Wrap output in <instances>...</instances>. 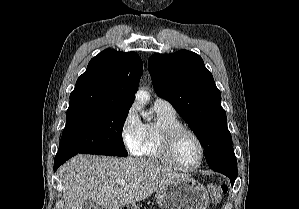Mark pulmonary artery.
Wrapping results in <instances>:
<instances>
[{
    "label": "pulmonary artery",
    "instance_id": "e3ab8cb5",
    "mask_svg": "<svg viewBox=\"0 0 299 209\" xmlns=\"http://www.w3.org/2000/svg\"><path fill=\"white\" fill-rule=\"evenodd\" d=\"M154 107L171 113L175 112L173 106L163 98H156L154 101Z\"/></svg>",
    "mask_w": 299,
    "mask_h": 209
}]
</instances>
